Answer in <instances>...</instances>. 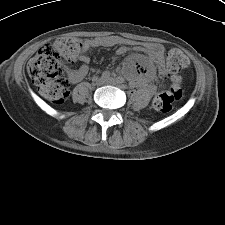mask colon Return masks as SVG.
Masks as SVG:
<instances>
[{
  "instance_id": "colon-1",
  "label": "colon",
  "mask_w": 225,
  "mask_h": 225,
  "mask_svg": "<svg viewBox=\"0 0 225 225\" xmlns=\"http://www.w3.org/2000/svg\"><path fill=\"white\" fill-rule=\"evenodd\" d=\"M80 51V41L76 37L62 36L43 45L27 65V74L38 86L40 95L53 104H62L69 96V84L63 78L64 62L73 63ZM188 64L185 54L173 49L169 51L166 65L161 75H173ZM171 90L158 93L153 99V107L168 112L183 96L182 86L176 76H172Z\"/></svg>"
}]
</instances>
